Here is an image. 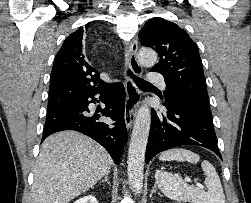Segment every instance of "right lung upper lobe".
<instances>
[{
	"mask_svg": "<svg viewBox=\"0 0 251 203\" xmlns=\"http://www.w3.org/2000/svg\"><path fill=\"white\" fill-rule=\"evenodd\" d=\"M88 27L89 24L70 34L55 57L47 110L75 101L90 90L108 86L85 61L82 39Z\"/></svg>",
	"mask_w": 251,
	"mask_h": 203,
	"instance_id": "cb5924a9",
	"label": "right lung upper lobe"
}]
</instances>
